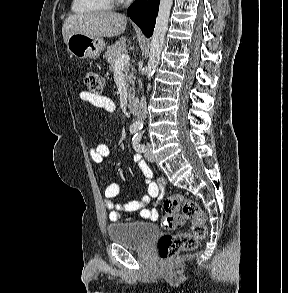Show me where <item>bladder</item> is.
<instances>
[{
    "instance_id": "31cf9c89",
    "label": "bladder",
    "mask_w": 288,
    "mask_h": 293,
    "mask_svg": "<svg viewBox=\"0 0 288 293\" xmlns=\"http://www.w3.org/2000/svg\"><path fill=\"white\" fill-rule=\"evenodd\" d=\"M106 230L112 242L128 249H142L158 234L154 224L144 222L112 223Z\"/></svg>"
}]
</instances>
